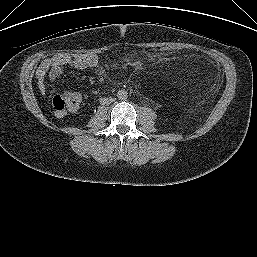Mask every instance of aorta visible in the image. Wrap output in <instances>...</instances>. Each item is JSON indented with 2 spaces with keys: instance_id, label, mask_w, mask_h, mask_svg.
<instances>
[{
  "instance_id": "762f6f07",
  "label": "aorta",
  "mask_w": 257,
  "mask_h": 257,
  "mask_svg": "<svg viewBox=\"0 0 257 257\" xmlns=\"http://www.w3.org/2000/svg\"><path fill=\"white\" fill-rule=\"evenodd\" d=\"M117 97H118L119 100L125 101L128 98V92L124 89H121V90L118 91Z\"/></svg>"
}]
</instances>
